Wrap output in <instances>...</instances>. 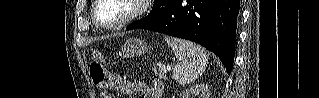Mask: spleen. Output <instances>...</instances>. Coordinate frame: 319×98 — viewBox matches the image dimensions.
I'll return each instance as SVG.
<instances>
[{"label": "spleen", "instance_id": "1", "mask_svg": "<svg viewBox=\"0 0 319 98\" xmlns=\"http://www.w3.org/2000/svg\"><path fill=\"white\" fill-rule=\"evenodd\" d=\"M165 41L178 59L174 68V79L183 85L198 79L208 62V54L205 49L193 42L177 38L165 37Z\"/></svg>", "mask_w": 319, "mask_h": 98}]
</instances>
